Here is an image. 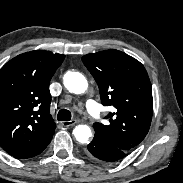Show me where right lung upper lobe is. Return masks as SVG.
<instances>
[{
	"label": "right lung upper lobe",
	"instance_id": "right-lung-upper-lobe-1",
	"mask_svg": "<svg viewBox=\"0 0 183 183\" xmlns=\"http://www.w3.org/2000/svg\"><path fill=\"white\" fill-rule=\"evenodd\" d=\"M64 58L30 51L0 70V145L15 158L40 154L52 139L56 124L49 113V83Z\"/></svg>",
	"mask_w": 183,
	"mask_h": 183
}]
</instances>
